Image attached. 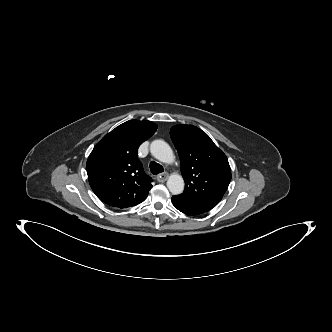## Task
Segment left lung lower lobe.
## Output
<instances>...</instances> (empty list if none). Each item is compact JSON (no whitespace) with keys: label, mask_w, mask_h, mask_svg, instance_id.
Wrapping results in <instances>:
<instances>
[{"label":"left lung lower lobe","mask_w":332,"mask_h":332,"mask_svg":"<svg viewBox=\"0 0 332 332\" xmlns=\"http://www.w3.org/2000/svg\"><path fill=\"white\" fill-rule=\"evenodd\" d=\"M172 203L176 209H178L179 211H181L182 213L187 214V215L193 216V215L203 214L205 212L201 209H198L189 204H186L185 202L179 200L175 196H172Z\"/></svg>","instance_id":"0a47b994"}]
</instances>
